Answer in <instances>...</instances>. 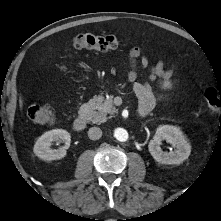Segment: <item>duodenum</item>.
<instances>
[{
    "label": "duodenum",
    "mask_w": 221,
    "mask_h": 221,
    "mask_svg": "<svg viewBox=\"0 0 221 221\" xmlns=\"http://www.w3.org/2000/svg\"><path fill=\"white\" fill-rule=\"evenodd\" d=\"M90 108L88 105L84 104L81 106L79 110V114L73 123V129L76 132H82L87 124V120L89 118Z\"/></svg>",
    "instance_id": "obj_1"
}]
</instances>
